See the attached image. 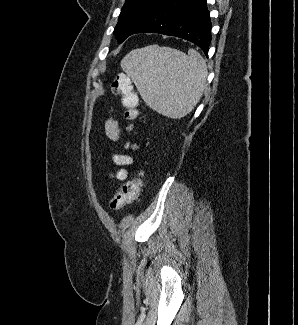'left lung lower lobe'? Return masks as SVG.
<instances>
[{
  "label": "left lung lower lobe",
  "mask_w": 298,
  "mask_h": 325,
  "mask_svg": "<svg viewBox=\"0 0 298 325\" xmlns=\"http://www.w3.org/2000/svg\"><path fill=\"white\" fill-rule=\"evenodd\" d=\"M211 21L206 0H163L131 32L160 33L198 45L208 57Z\"/></svg>",
  "instance_id": "1"
}]
</instances>
